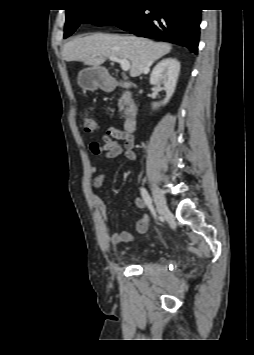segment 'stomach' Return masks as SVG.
Masks as SVG:
<instances>
[{"mask_svg": "<svg viewBox=\"0 0 254 355\" xmlns=\"http://www.w3.org/2000/svg\"><path fill=\"white\" fill-rule=\"evenodd\" d=\"M77 81L82 88L89 91H95L98 88L110 89L113 87L112 79L102 67H88L81 70L78 74Z\"/></svg>", "mask_w": 254, "mask_h": 355, "instance_id": "stomach-1", "label": "stomach"}]
</instances>
